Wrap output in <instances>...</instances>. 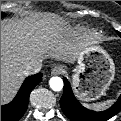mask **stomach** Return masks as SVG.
I'll list each match as a JSON object with an SVG mask.
<instances>
[{"label": "stomach", "mask_w": 121, "mask_h": 121, "mask_svg": "<svg viewBox=\"0 0 121 121\" xmlns=\"http://www.w3.org/2000/svg\"><path fill=\"white\" fill-rule=\"evenodd\" d=\"M78 64L73 84L78 87L79 98L91 101L104 95L115 75L114 63L109 55L99 47L89 48L81 52Z\"/></svg>", "instance_id": "1"}]
</instances>
